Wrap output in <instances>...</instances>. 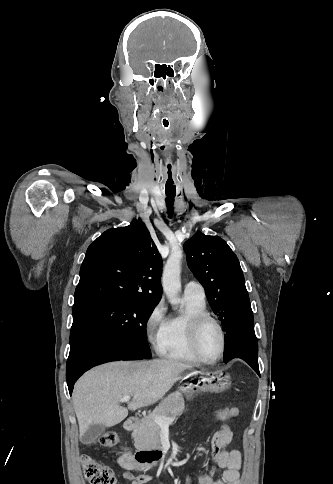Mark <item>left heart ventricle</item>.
Masks as SVG:
<instances>
[{"mask_svg": "<svg viewBox=\"0 0 333 484\" xmlns=\"http://www.w3.org/2000/svg\"><path fill=\"white\" fill-rule=\"evenodd\" d=\"M199 347L202 354L211 359L217 356L221 347L220 334L213 323H207L199 336Z\"/></svg>", "mask_w": 333, "mask_h": 484, "instance_id": "obj_1", "label": "left heart ventricle"}]
</instances>
